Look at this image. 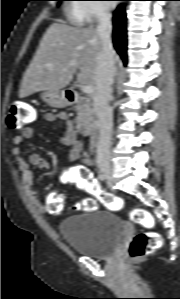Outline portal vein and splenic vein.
<instances>
[{
	"label": "portal vein and splenic vein",
	"mask_w": 180,
	"mask_h": 299,
	"mask_svg": "<svg viewBox=\"0 0 180 299\" xmlns=\"http://www.w3.org/2000/svg\"><path fill=\"white\" fill-rule=\"evenodd\" d=\"M81 90L85 94H91L94 92V87L91 85H82Z\"/></svg>",
	"instance_id": "18ae733b"
}]
</instances>
